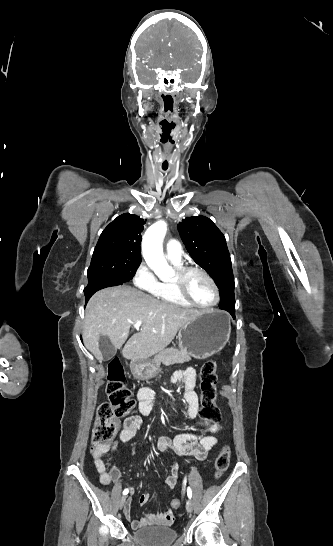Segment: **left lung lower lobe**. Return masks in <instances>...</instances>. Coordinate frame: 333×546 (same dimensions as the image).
I'll use <instances>...</instances> for the list:
<instances>
[{"label": "left lung lower lobe", "mask_w": 333, "mask_h": 546, "mask_svg": "<svg viewBox=\"0 0 333 546\" xmlns=\"http://www.w3.org/2000/svg\"><path fill=\"white\" fill-rule=\"evenodd\" d=\"M231 315L233 316V318L235 317V313H231Z\"/></svg>", "instance_id": "obj_1"}]
</instances>
